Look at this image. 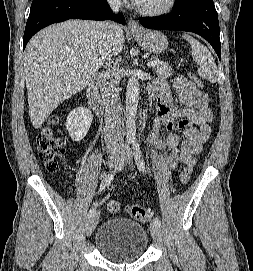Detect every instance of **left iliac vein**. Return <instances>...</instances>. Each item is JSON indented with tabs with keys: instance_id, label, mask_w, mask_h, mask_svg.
<instances>
[{
	"instance_id": "4c4485c4",
	"label": "left iliac vein",
	"mask_w": 253,
	"mask_h": 271,
	"mask_svg": "<svg viewBox=\"0 0 253 271\" xmlns=\"http://www.w3.org/2000/svg\"><path fill=\"white\" fill-rule=\"evenodd\" d=\"M127 152V160H126V165L131 166L132 165V155L133 152L130 148L125 149ZM150 232L153 237V239L157 242H161L162 240V233H161V228L159 225L153 223L150 225Z\"/></svg>"
}]
</instances>
